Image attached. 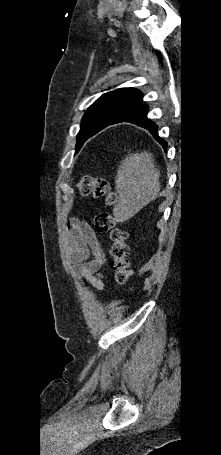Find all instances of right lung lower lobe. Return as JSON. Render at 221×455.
Instances as JSON below:
<instances>
[{"label":"right lung lower lobe","mask_w":221,"mask_h":455,"mask_svg":"<svg viewBox=\"0 0 221 455\" xmlns=\"http://www.w3.org/2000/svg\"><path fill=\"white\" fill-rule=\"evenodd\" d=\"M148 109L149 108L147 105H143L140 103L139 105L125 112L112 124L120 122H130L140 127H143L147 129L157 141H159V143L164 147V149H166L167 143L161 138H159L157 135L158 126L147 118Z\"/></svg>","instance_id":"1"}]
</instances>
